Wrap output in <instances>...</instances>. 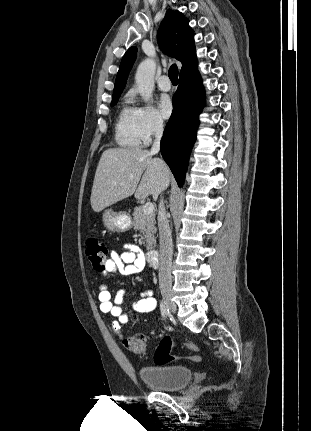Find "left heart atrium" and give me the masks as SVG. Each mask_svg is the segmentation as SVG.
Here are the masks:
<instances>
[{
    "instance_id": "left-heart-atrium-1",
    "label": "left heart atrium",
    "mask_w": 311,
    "mask_h": 431,
    "mask_svg": "<svg viewBox=\"0 0 311 431\" xmlns=\"http://www.w3.org/2000/svg\"><path fill=\"white\" fill-rule=\"evenodd\" d=\"M160 110L164 118H170L174 111V104L170 96L164 95L160 99Z\"/></svg>"
}]
</instances>
